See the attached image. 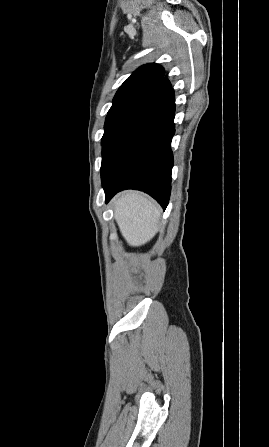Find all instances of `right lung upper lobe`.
Returning <instances> with one entry per match:
<instances>
[{
    "label": "right lung upper lobe",
    "mask_w": 269,
    "mask_h": 447,
    "mask_svg": "<svg viewBox=\"0 0 269 447\" xmlns=\"http://www.w3.org/2000/svg\"><path fill=\"white\" fill-rule=\"evenodd\" d=\"M164 73V69L155 63L138 68L117 91L108 114L120 111L132 113L169 90L171 83Z\"/></svg>",
    "instance_id": "obj_1"
}]
</instances>
